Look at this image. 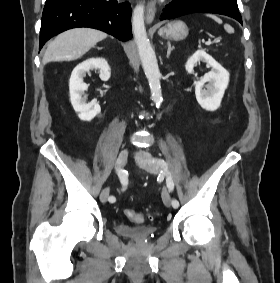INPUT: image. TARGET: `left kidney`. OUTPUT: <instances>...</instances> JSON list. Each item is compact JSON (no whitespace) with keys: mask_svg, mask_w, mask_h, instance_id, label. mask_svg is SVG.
<instances>
[{"mask_svg":"<svg viewBox=\"0 0 280 283\" xmlns=\"http://www.w3.org/2000/svg\"><path fill=\"white\" fill-rule=\"evenodd\" d=\"M200 61L206 62L212 69L200 80L194 81L195 96L203 109L215 111L220 107L230 75L226 69L203 50H197L187 60L185 64L186 71L190 74L193 73L194 66Z\"/></svg>","mask_w":280,"mask_h":283,"instance_id":"1","label":"left kidney"}]
</instances>
